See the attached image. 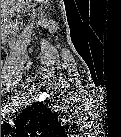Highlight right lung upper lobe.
<instances>
[{
  "label": "right lung upper lobe",
  "instance_id": "1",
  "mask_svg": "<svg viewBox=\"0 0 121 137\" xmlns=\"http://www.w3.org/2000/svg\"><path fill=\"white\" fill-rule=\"evenodd\" d=\"M19 135H51L61 128L57 119L41 102L29 106L14 121ZM2 129H9V125H1Z\"/></svg>",
  "mask_w": 121,
  "mask_h": 137
}]
</instances>
